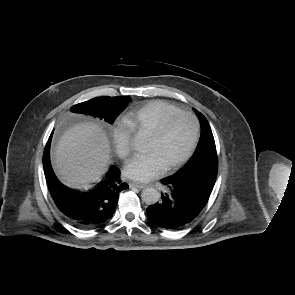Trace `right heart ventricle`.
I'll use <instances>...</instances> for the list:
<instances>
[{
  "label": "right heart ventricle",
  "instance_id": "e07e8e85",
  "mask_svg": "<svg viewBox=\"0 0 295 295\" xmlns=\"http://www.w3.org/2000/svg\"><path fill=\"white\" fill-rule=\"evenodd\" d=\"M179 110V107L166 101H151L129 111L123 117V123L131 132L150 134L164 117Z\"/></svg>",
  "mask_w": 295,
  "mask_h": 295
}]
</instances>
